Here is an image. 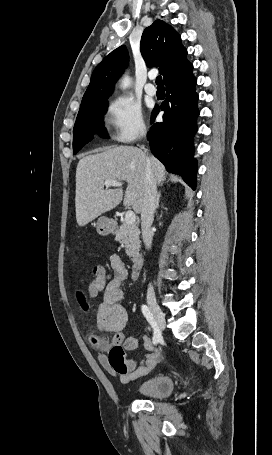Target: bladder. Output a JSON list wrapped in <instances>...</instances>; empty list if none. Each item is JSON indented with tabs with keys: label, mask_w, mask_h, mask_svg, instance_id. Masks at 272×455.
<instances>
[{
	"label": "bladder",
	"mask_w": 272,
	"mask_h": 455,
	"mask_svg": "<svg viewBox=\"0 0 272 455\" xmlns=\"http://www.w3.org/2000/svg\"><path fill=\"white\" fill-rule=\"evenodd\" d=\"M175 381L168 374H160L143 382L137 389L140 396L147 398H163L175 389Z\"/></svg>",
	"instance_id": "1"
}]
</instances>
